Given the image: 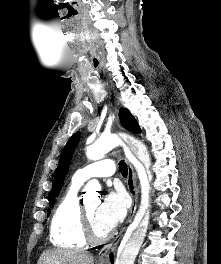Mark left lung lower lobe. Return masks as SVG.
<instances>
[{"mask_svg":"<svg viewBox=\"0 0 221 264\" xmlns=\"http://www.w3.org/2000/svg\"><path fill=\"white\" fill-rule=\"evenodd\" d=\"M97 248H99V247H97ZM110 258H111V263L113 264L114 261H113V255L112 254L110 255Z\"/></svg>","mask_w":221,"mask_h":264,"instance_id":"left-lung-lower-lobe-1","label":"left lung lower lobe"}]
</instances>
